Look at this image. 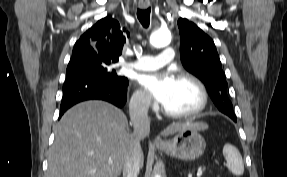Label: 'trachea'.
Here are the masks:
<instances>
[{
  "label": "trachea",
  "mask_w": 287,
  "mask_h": 177,
  "mask_svg": "<svg viewBox=\"0 0 287 177\" xmlns=\"http://www.w3.org/2000/svg\"><path fill=\"white\" fill-rule=\"evenodd\" d=\"M150 12L151 8L146 10L137 9V18L144 28H148L150 24Z\"/></svg>",
  "instance_id": "obj_1"
}]
</instances>
